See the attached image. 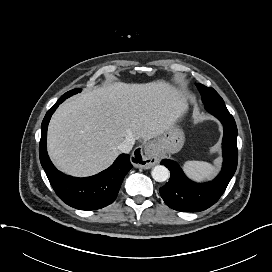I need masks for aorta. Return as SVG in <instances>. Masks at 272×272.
<instances>
[{"mask_svg": "<svg viewBox=\"0 0 272 272\" xmlns=\"http://www.w3.org/2000/svg\"><path fill=\"white\" fill-rule=\"evenodd\" d=\"M151 175L155 181L164 182L169 178L170 173L165 166L157 165L152 169Z\"/></svg>", "mask_w": 272, "mask_h": 272, "instance_id": "762f6f07", "label": "aorta"}]
</instances>
